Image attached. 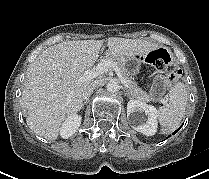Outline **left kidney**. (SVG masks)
<instances>
[{"label":"left kidney","instance_id":"left-kidney-1","mask_svg":"<svg viewBox=\"0 0 209 179\" xmlns=\"http://www.w3.org/2000/svg\"><path fill=\"white\" fill-rule=\"evenodd\" d=\"M137 112H144L147 116V121L143 122ZM127 116L130 119L132 128L138 132H141L147 136H152L157 131V109L144 102L131 99L127 104Z\"/></svg>","mask_w":209,"mask_h":179}]
</instances>
